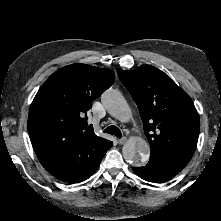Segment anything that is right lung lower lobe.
<instances>
[{
  "label": "right lung lower lobe",
  "instance_id": "right-lung-lower-lobe-1",
  "mask_svg": "<svg viewBox=\"0 0 221 221\" xmlns=\"http://www.w3.org/2000/svg\"><path fill=\"white\" fill-rule=\"evenodd\" d=\"M111 141L100 137L88 139L39 159L43 167L56 178L67 183L88 179L99 167Z\"/></svg>",
  "mask_w": 221,
  "mask_h": 221
}]
</instances>
